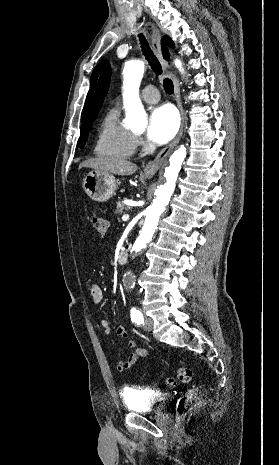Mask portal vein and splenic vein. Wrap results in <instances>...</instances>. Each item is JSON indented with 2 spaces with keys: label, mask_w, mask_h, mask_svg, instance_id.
<instances>
[{
  "label": "portal vein and splenic vein",
  "mask_w": 279,
  "mask_h": 465,
  "mask_svg": "<svg viewBox=\"0 0 279 465\" xmlns=\"http://www.w3.org/2000/svg\"><path fill=\"white\" fill-rule=\"evenodd\" d=\"M122 220L123 221H128L129 220V215L128 214L123 215Z\"/></svg>",
  "instance_id": "18ae733b"
}]
</instances>
